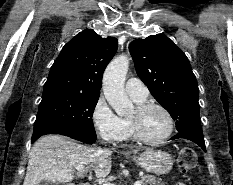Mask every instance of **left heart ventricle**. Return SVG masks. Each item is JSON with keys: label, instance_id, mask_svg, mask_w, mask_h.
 Returning <instances> with one entry per match:
<instances>
[{"label": "left heart ventricle", "instance_id": "b2bd125f", "mask_svg": "<svg viewBox=\"0 0 233 185\" xmlns=\"http://www.w3.org/2000/svg\"><path fill=\"white\" fill-rule=\"evenodd\" d=\"M130 118H137L142 133L150 139H157L166 134L169 122L166 115L157 108H150L141 115H137L136 110L132 112Z\"/></svg>", "mask_w": 233, "mask_h": 185}]
</instances>
